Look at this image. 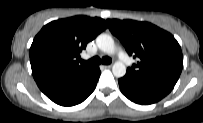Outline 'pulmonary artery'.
I'll list each match as a JSON object with an SVG mask.
<instances>
[{
	"mask_svg": "<svg viewBox=\"0 0 203 123\" xmlns=\"http://www.w3.org/2000/svg\"><path fill=\"white\" fill-rule=\"evenodd\" d=\"M118 58L126 65L130 64V59L122 49H118Z\"/></svg>",
	"mask_w": 203,
	"mask_h": 123,
	"instance_id": "pulmonary-artery-1",
	"label": "pulmonary artery"
}]
</instances>
